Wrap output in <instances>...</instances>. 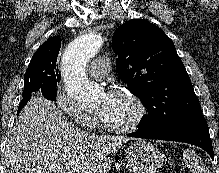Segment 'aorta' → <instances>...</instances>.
I'll use <instances>...</instances> for the list:
<instances>
[{"instance_id":"aorta-1","label":"aorta","mask_w":219,"mask_h":173,"mask_svg":"<svg viewBox=\"0 0 219 173\" xmlns=\"http://www.w3.org/2000/svg\"><path fill=\"white\" fill-rule=\"evenodd\" d=\"M103 44L102 36L89 32L74 39L62 56V74L70 96L78 101L93 100L100 91L85 73L87 62L92 59Z\"/></svg>"}]
</instances>
